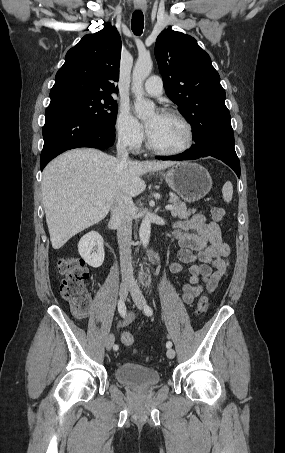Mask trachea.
<instances>
[{
  "label": "trachea",
  "instance_id": "obj_1",
  "mask_svg": "<svg viewBox=\"0 0 285 453\" xmlns=\"http://www.w3.org/2000/svg\"><path fill=\"white\" fill-rule=\"evenodd\" d=\"M132 31L135 35L140 36L144 27V16L141 10H136L132 15Z\"/></svg>",
  "mask_w": 285,
  "mask_h": 453
}]
</instances>
